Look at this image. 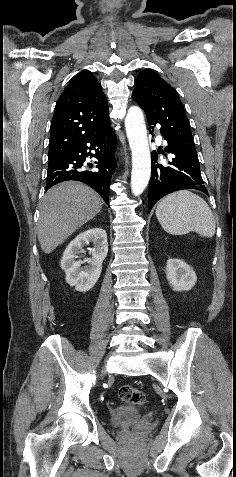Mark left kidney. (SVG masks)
<instances>
[{
	"mask_svg": "<svg viewBox=\"0 0 236 477\" xmlns=\"http://www.w3.org/2000/svg\"><path fill=\"white\" fill-rule=\"evenodd\" d=\"M166 275L175 291H188L197 281L194 270L180 259H168Z\"/></svg>",
	"mask_w": 236,
	"mask_h": 477,
	"instance_id": "obj_1",
	"label": "left kidney"
}]
</instances>
